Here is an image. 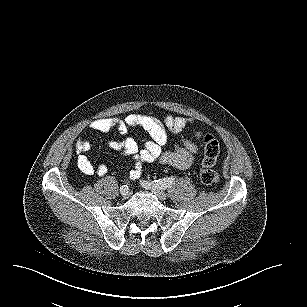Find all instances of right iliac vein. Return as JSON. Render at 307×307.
Listing matches in <instances>:
<instances>
[{
  "instance_id": "right-iliac-vein-1",
  "label": "right iliac vein",
  "mask_w": 307,
  "mask_h": 307,
  "mask_svg": "<svg viewBox=\"0 0 307 307\" xmlns=\"http://www.w3.org/2000/svg\"><path fill=\"white\" fill-rule=\"evenodd\" d=\"M120 193L124 198H128L130 196V191L127 187L125 188H120Z\"/></svg>"
}]
</instances>
